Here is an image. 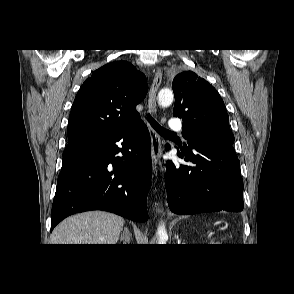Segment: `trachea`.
Returning <instances> with one entry per match:
<instances>
[{"label":"trachea","instance_id":"3493384b","mask_svg":"<svg viewBox=\"0 0 294 294\" xmlns=\"http://www.w3.org/2000/svg\"><path fill=\"white\" fill-rule=\"evenodd\" d=\"M147 120L149 121V123L151 124V126L162 136L164 137H167V136H170V135H175L174 132H171L165 128H163L160 124H158L156 122V120L148 114L147 116Z\"/></svg>","mask_w":294,"mask_h":294}]
</instances>
